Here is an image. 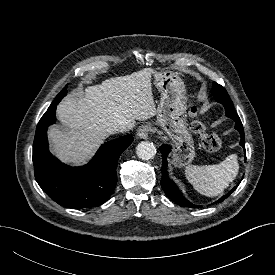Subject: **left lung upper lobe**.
<instances>
[{
	"label": "left lung upper lobe",
	"instance_id": "5c2ea615",
	"mask_svg": "<svg viewBox=\"0 0 275 275\" xmlns=\"http://www.w3.org/2000/svg\"><path fill=\"white\" fill-rule=\"evenodd\" d=\"M213 96H214L215 100L220 103L222 101H228V102L232 103L226 90L221 85L217 84L216 82L213 83Z\"/></svg>",
	"mask_w": 275,
	"mask_h": 275
}]
</instances>
